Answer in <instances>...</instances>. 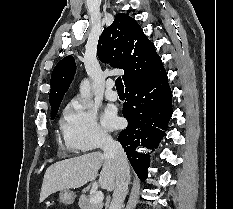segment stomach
I'll use <instances>...</instances> for the list:
<instances>
[{
    "mask_svg": "<svg viewBox=\"0 0 233 209\" xmlns=\"http://www.w3.org/2000/svg\"><path fill=\"white\" fill-rule=\"evenodd\" d=\"M76 199V194L70 190H63L59 193V201L64 205H71Z\"/></svg>",
    "mask_w": 233,
    "mask_h": 209,
    "instance_id": "0dacf381",
    "label": "stomach"
}]
</instances>
